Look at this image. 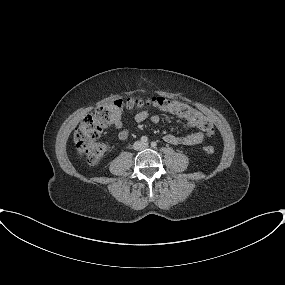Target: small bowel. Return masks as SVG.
Masks as SVG:
<instances>
[{"instance_id": "obj_1", "label": "small bowel", "mask_w": 285, "mask_h": 285, "mask_svg": "<svg viewBox=\"0 0 285 285\" xmlns=\"http://www.w3.org/2000/svg\"><path fill=\"white\" fill-rule=\"evenodd\" d=\"M135 121L138 123L144 122L146 119L150 118L151 122L154 124L159 123L160 117L156 114L151 115L149 110L142 109L139 110L135 116ZM188 124L191 125L189 122ZM114 126L119 129L118 132V138L121 140H126L130 136V131L124 127V123L121 119H118ZM195 127V126H193ZM199 130L197 132H194L192 134H187L183 136H178L174 134H166L164 136V141L172 144V145H184V146H197L203 143L206 136L210 135L211 133L206 132L205 130L197 127Z\"/></svg>"}]
</instances>
